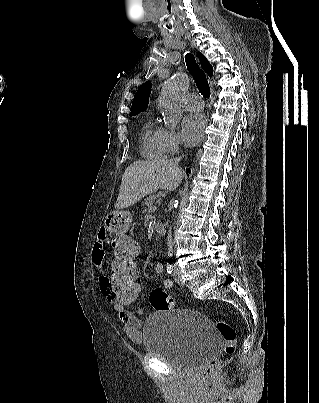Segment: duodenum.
<instances>
[{
  "mask_svg": "<svg viewBox=\"0 0 319 403\" xmlns=\"http://www.w3.org/2000/svg\"><path fill=\"white\" fill-rule=\"evenodd\" d=\"M154 230H155L156 233H158L160 235H165L166 234V227L161 222H156L154 224Z\"/></svg>",
  "mask_w": 319,
  "mask_h": 403,
  "instance_id": "1",
  "label": "duodenum"
}]
</instances>
